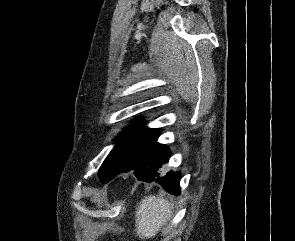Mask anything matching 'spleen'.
Instances as JSON below:
<instances>
[{
    "instance_id": "obj_1",
    "label": "spleen",
    "mask_w": 295,
    "mask_h": 241,
    "mask_svg": "<svg viewBox=\"0 0 295 241\" xmlns=\"http://www.w3.org/2000/svg\"><path fill=\"white\" fill-rule=\"evenodd\" d=\"M173 204L166 198L148 196L136 208V232L140 238L155 236L171 218Z\"/></svg>"
}]
</instances>
